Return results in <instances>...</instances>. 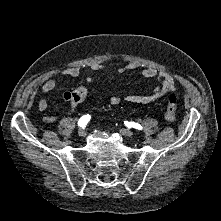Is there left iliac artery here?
<instances>
[{
    "mask_svg": "<svg viewBox=\"0 0 221 221\" xmlns=\"http://www.w3.org/2000/svg\"><path fill=\"white\" fill-rule=\"evenodd\" d=\"M127 126L129 127H133L135 129H138V130H142V126L138 123H135V122H128V121H125L124 122Z\"/></svg>",
    "mask_w": 221,
    "mask_h": 221,
    "instance_id": "44dca946",
    "label": "left iliac artery"
}]
</instances>
